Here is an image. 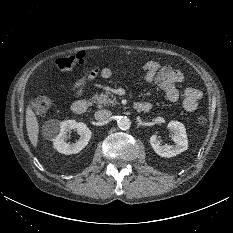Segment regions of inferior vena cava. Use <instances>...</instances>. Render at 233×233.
I'll return each instance as SVG.
<instances>
[{"label":"inferior vena cava","mask_w":233,"mask_h":233,"mask_svg":"<svg viewBox=\"0 0 233 233\" xmlns=\"http://www.w3.org/2000/svg\"><path fill=\"white\" fill-rule=\"evenodd\" d=\"M95 119L98 121H107L111 118L112 113L109 110H98L97 112H95Z\"/></svg>","instance_id":"1"}]
</instances>
